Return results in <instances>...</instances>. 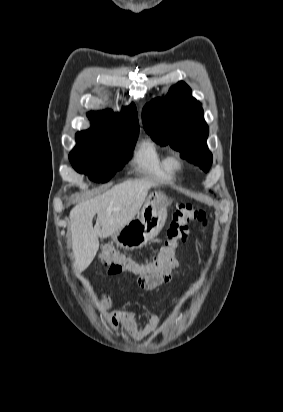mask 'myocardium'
I'll use <instances>...</instances> for the list:
<instances>
[{
	"label": "myocardium",
	"instance_id": "1",
	"mask_svg": "<svg viewBox=\"0 0 283 412\" xmlns=\"http://www.w3.org/2000/svg\"><path fill=\"white\" fill-rule=\"evenodd\" d=\"M185 161L179 155L171 156V166L174 171L181 170L184 167Z\"/></svg>",
	"mask_w": 283,
	"mask_h": 412
}]
</instances>
